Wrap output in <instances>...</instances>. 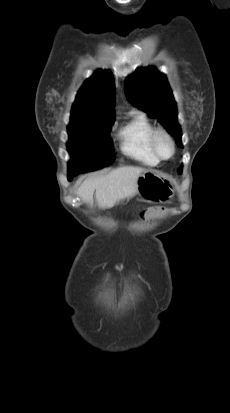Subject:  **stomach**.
<instances>
[{
	"instance_id": "0dacf381",
	"label": "stomach",
	"mask_w": 230,
	"mask_h": 413,
	"mask_svg": "<svg viewBox=\"0 0 230 413\" xmlns=\"http://www.w3.org/2000/svg\"><path fill=\"white\" fill-rule=\"evenodd\" d=\"M137 194L143 201L159 204L174 194L171 180L156 170H144L137 179Z\"/></svg>"
}]
</instances>
